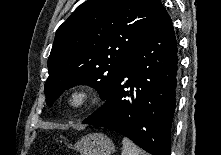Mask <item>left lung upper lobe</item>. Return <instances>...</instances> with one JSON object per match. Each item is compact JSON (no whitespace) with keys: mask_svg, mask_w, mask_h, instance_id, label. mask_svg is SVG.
I'll return each mask as SVG.
<instances>
[{"mask_svg":"<svg viewBox=\"0 0 221 155\" xmlns=\"http://www.w3.org/2000/svg\"><path fill=\"white\" fill-rule=\"evenodd\" d=\"M160 0H87L57 29L48 59L46 104L74 85L106 99L133 50L154 25Z\"/></svg>","mask_w":221,"mask_h":155,"instance_id":"left-lung-upper-lobe-1","label":"left lung upper lobe"}]
</instances>
